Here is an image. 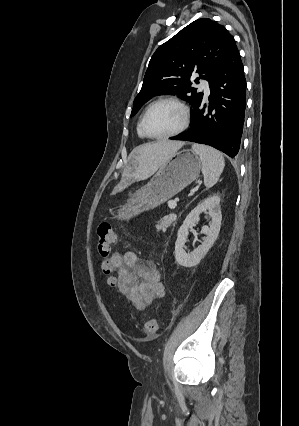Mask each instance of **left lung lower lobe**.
<instances>
[{
  "label": "left lung lower lobe",
  "mask_w": 299,
  "mask_h": 426,
  "mask_svg": "<svg viewBox=\"0 0 299 426\" xmlns=\"http://www.w3.org/2000/svg\"><path fill=\"white\" fill-rule=\"evenodd\" d=\"M209 87V106L202 102L191 117L190 129L170 139L210 145L233 158L240 150L246 108V80L238 49L219 68Z\"/></svg>",
  "instance_id": "0a47b994"
}]
</instances>
